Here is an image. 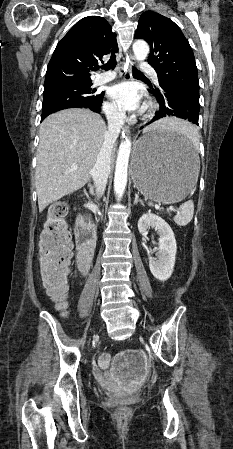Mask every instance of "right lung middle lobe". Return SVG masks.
I'll use <instances>...</instances> for the list:
<instances>
[{
	"label": "right lung middle lobe",
	"mask_w": 233,
	"mask_h": 449,
	"mask_svg": "<svg viewBox=\"0 0 233 449\" xmlns=\"http://www.w3.org/2000/svg\"><path fill=\"white\" fill-rule=\"evenodd\" d=\"M92 83L67 85L44 91L42 115L53 113L74 105L93 107L102 98L103 93L94 94Z\"/></svg>",
	"instance_id": "1"
}]
</instances>
